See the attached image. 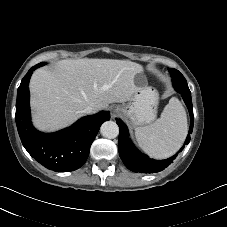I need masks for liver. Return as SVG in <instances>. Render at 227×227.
Returning <instances> with one entry per match:
<instances>
[{
    "label": "liver",
    "mask_w": 227,
    "mask_h": 227,
    "mask_svg": "<svg viewBox=\"0 0 227 227\" xmlns=\"http://www.w3.org/2000/svg\"><path fill=\"white\" fill-rule=\"evenodd\" d=\"M143 67L130 60L66 59L36 70L30 80L36 128L53 132L69 126L87 106L95 112L110 103L129 101L138 90L135 76Z\"/></svg>",
    "instance_id": "6515ba94"
}]
</instances>
